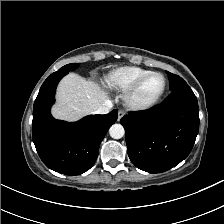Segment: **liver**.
I'll return each mask as SVG.
<instances>
[{"label":"liver","mask_w":224,"mask_h":224,"mask_svg":"<svg viewBox=\"0 0 224 224\" xmlns=\"http://www.w3.org/2000/svg\"><path fill=\"white\" fill-rule=\"evenodd\" d=\"M58 103L52 109L55 118L76 121L92 114L108 100V93L99 84L77 74H69L60 82Z\"/></svg>","instance_id":"1"}]
</instances>
